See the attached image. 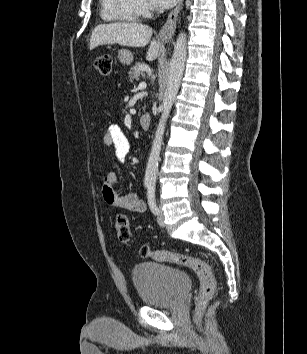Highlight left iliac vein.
<instances>
[{"instance_id": "obj_1", "label": "left iliac vein", "mask_w": 307, "mask_h": 354, "mask_svg": "<svg viewBox=\"0 0 307 354\" xmlns=\"http://www.w3.org/2000/svg\"><path fill=\"white\" fill-rule=\"evenodd\" d=\"M158 216H157V221H158V224L161 226V227H164L165 224H164V216H163V213L160 209H158Z\"/></svg>"}]
</instances>
